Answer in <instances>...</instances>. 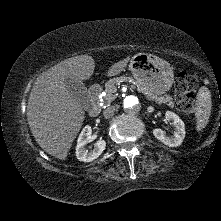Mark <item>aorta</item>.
Listing matches in <instances>:
<instances>
[{
  "label": "aorta",
  "mask_w": 221,
  "mask_h": 221,
  "mask_svg": "<svg viewBox=\"0 0 221 221\" xmlns=\"http://www.w3.org/2000/svg\"><path fill=\"white\" fill-rule=\"evenodd\" d=\"M141 104L139 98L135 95H128L123 101V108L129 114L137 113L140 110Z\"/></svg>",
  "instance_id": "762f6f07"
}]
</instances>
